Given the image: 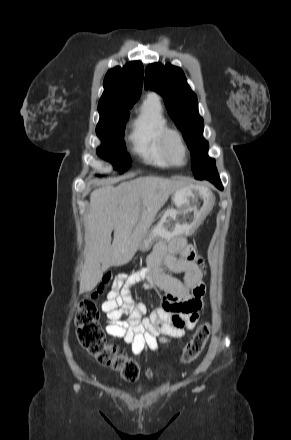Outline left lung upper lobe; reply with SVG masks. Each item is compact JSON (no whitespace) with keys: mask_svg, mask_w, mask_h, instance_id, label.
<instances>
[{"mask_svg":"<svg viewBox=\"0 0 291 440\" xmlns=\"http://www.w3.org/2000/svg\"><path fill=\"white\" fill-rule=\"evenodd\" d=\"M145 89L159 93L170 117L183 133L191 150L194 177L205 179L216 175L215 160L208 157V142L203 138V119L198 113L197 96L187 84L183 71L171 64L154 63L146 68Z\"/></svg>","mask_w":291,"mask_h":440,"instance_id":"5c2ea615","label":"left lung upper lobe"}]
</instances>
